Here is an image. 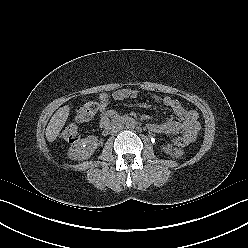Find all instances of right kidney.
<instances>
[{
	"mask_svg": "<svg viewBox=\"0 0 248 248\" xmlns=\"http://www.w3.org/2000/svg\"><path fill=\"white\" fill-rule=\"evenodd\" d=\"M98 145L96 136H88L75 142L68 150V157L72 160H85L93 155Z\"/></svg>",
	"mask_w": 248,
	"mask_h": 248,
	"instance_id": "ca27d5eb",
	"label": "right kidney"
}]
</instances>
